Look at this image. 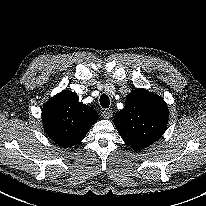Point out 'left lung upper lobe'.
Listing matches in <instances>:
<instances>
[{
	"mask_svg": "<svg viewBox=\"0 0 206 206\" xmlns=\"http://www.w3.org/2000/svg\"><path fill=\"white\" fill-rule=\"evenodd\" d=\"M168 117V107L160 96L136 89L127 96L124 108L115 115L114 124L124 142L140 151L163 135Z\"/></svg>",
	"mask_w": 206,
	"mask_h": 206,
	"instance_id": "obj_1",
	"label": "left lung upper lobe"
}]
</instances>
